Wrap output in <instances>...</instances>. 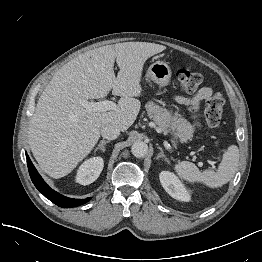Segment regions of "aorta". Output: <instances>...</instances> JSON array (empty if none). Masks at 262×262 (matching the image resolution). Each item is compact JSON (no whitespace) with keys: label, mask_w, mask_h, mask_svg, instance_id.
<instances>
[{"label":"aorta","mask_w":262,"mask_h":262,"mask_svg":"<svg viewBox=\"0 0 262 262\" xmlns=\"http://www.w3.org/2000/svg\"><path fill=\"white\" fill-rule=\"evenodd\" d=\"M132 154L137 158H143L148 153V146L143 141H136L131 147Z\"/></svg>","instance_id":"obj_1"}]
</instances>
